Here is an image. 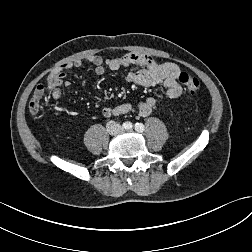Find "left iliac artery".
<instances>
[{"mask_svg":"<svg viewBox=\"0 0 252 252\" xmlns=\"http://www.w3.org/2000/svg\"><path fill=\"white\" fill-rule=\"evenodd\" d=\"M135 129L138 131V132H143L145 130V127L142 123H136L135 124Z\"/></svg>","mask_w":252,"mask_h":252,"instance_id":"obj_1","label":"left iliac artery"}]
</instances>
